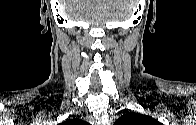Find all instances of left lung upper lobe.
<instances>
[{
	"mask_svg": "<svg viewBox=\"0 0 196 125\" xmlns=\"http://www.w3.org/2000/svg\"><path fill=\"white\" fill-rule=\"evenodd\" d=\"M117 125H160L156 119L139 113L129 112L121 116L117 121Z\"/></svg>",
	"mask_w": 196,
	"mask_h": 125,
	"instance_id": "1",
	"label": "left lung upper lobe"
}]
</instances>
